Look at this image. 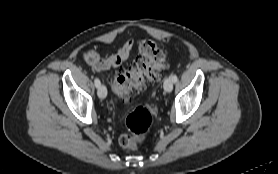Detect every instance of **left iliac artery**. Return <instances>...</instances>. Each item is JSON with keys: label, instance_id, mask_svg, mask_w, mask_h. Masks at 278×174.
Segmentation results:
<instances>
[{"label": "left iliac artery", "instance_id": "44dca946", "mask_svg": "<svg viewBox=\"0 0 278 174\" xmlns=\"http://www.w3.org/2000/svg\"><path fill=\"white\" fill-rule=\"evenodd\" d=\"M171 79H172L173 83H176V82L178 81V77H177L176 74H173V75L171 76Z\"/></svg>", "mask_w": 278, "mask_h": 174}]
</instances>
